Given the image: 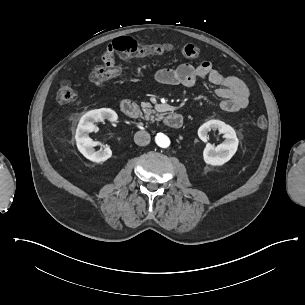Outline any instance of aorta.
Masks as SVG:
<instances>
[{"mask_svg": "<svg viewBox=\"0 0 305 305\" xmlns=\"http://www.w3.org/2000/svg\"><path fill=\"white\" fill-rule=\"evenodd\" d=\"M155 142L161 148H167L170 145V139L163 133H158L156 135Z\"/></svg>", "mask_w": 305, "mask_h": 305, "instance_id": "aorta-1", "label": "aorta"}]
</instances>
